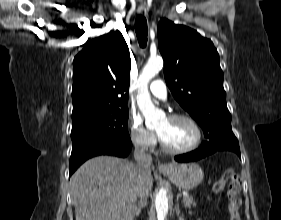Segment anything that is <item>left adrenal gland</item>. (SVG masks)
<instances>
[{
	"mask_svg": "<svg viewBox=\"0 0 281 220\" xmlns=\"http://www.w3.org/2000/svg\"><path fill=\"white\" fill-rule=\"evenodd\" d=\"M176 213H177L178 216L180 215L179 206L176 207Z\"/></svg>",
	"mask_w": 281,
	"mask_h": 220,
	"instance_id": "obj_1",
	"label": "left adrenal gland"
}]
</instances>
